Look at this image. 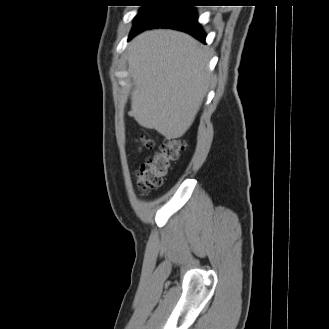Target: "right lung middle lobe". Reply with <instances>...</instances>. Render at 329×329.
Returning <instances> with one entry per match:
<instances>
[{
  "instance_id": "dd1d6c3e",
  "label": "right lung middle lobe",
  "mask_w": 329,
  "mask_h": 329,
  "mask_svg": "<svg viewBox=\"0 0 329 329\" xmlns=\"http://www.w3.org/2000/svg\"><path fill=\"white\" fill-rule=\"evenodd\" d=\"M142 4L139 14L134 18L135 30L140 27L151 24L166 8H168L176 0H139ZM171 3V4H170Z\"/></svg>"
}]
</instances>
